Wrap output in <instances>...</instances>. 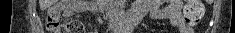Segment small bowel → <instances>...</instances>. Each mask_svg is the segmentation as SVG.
<instances>
[{
    "label": "small bowel",
    "instance_id": "c3829d8e",
    "mask_svg": "<svg viewBox=\"0 0 235 33\" xmlns=\"http://www.w3.org/2000/svg\"><path fill=\"white\" fill-rule=\"evenodd\" d=\"M165 4V5H164ZM183 2L181 0H140L133 6V14L149 15L153 19H169L179 33H193L192 27L186 23L182 14Z\"/></svg>",
    "mask_w": 235,
    "mask_h": 33
}]
</instances>
